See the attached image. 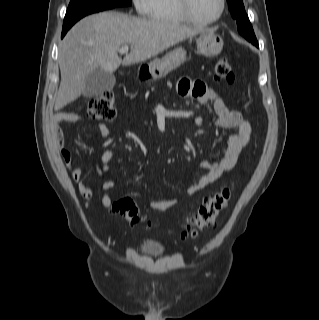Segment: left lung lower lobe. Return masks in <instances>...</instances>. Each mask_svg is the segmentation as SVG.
Wrapping results in <instances>:
<instances>
[{"mask_svg":"<svg viewBox=\"0 0 319 320\" xmlns=\"http://www.w3.org/2000/svg\"><path fill=\"white\" fill-rule=\"evenodd\" d=\"M254 45H256V46H258V43L257 42H255V43H253Z\"/></svg>","mask_w":319,"mask_h":320,"instance_id":"1","label":"left lung lower lobe"}]
</instances>
